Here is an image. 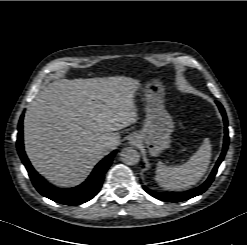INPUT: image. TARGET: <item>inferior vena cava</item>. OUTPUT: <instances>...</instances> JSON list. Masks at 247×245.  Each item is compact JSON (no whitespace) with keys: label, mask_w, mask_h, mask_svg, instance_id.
Returning a JSON list of instances; mask_svg holds the SVG:
<instances>
[{"label":"inferior vena cava","mask_w":247,"mask_h":245,"mask_svg":"<svg viewBox=\"0 0 247 245\" xmlns=\"http://www.w3.org/2000/svg\"><path fill=\"white\" fill-rule=\"evenodd\" d=\"M117 146V142L113 141V140H108L106 142L103 143L102 147L105 151L110 152L112 150H114Z\"/></svg>","instance_id":"obj_1"}]
</instances>
